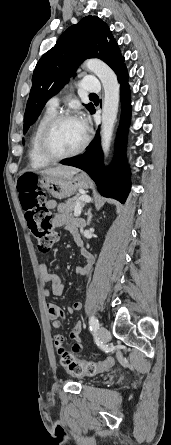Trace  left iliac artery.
Segmentation results:
<instances>
[{
  "mask_svg": "<svg viewBox=\"0 0 171 445\" xmlns=\"http://www.w3.org/2000/svg\"><path fill=\"white\" fill-rule=\"evenodd\" d=\"M90 330L96 332L99 328V321L95 316H91L89 319Z\"/></svg>",
  "mask_w": 171,
  "mask_h": 445,
  "instance_id": "44dca946",
  "label": "left iliac artery"
}]
</instances>
